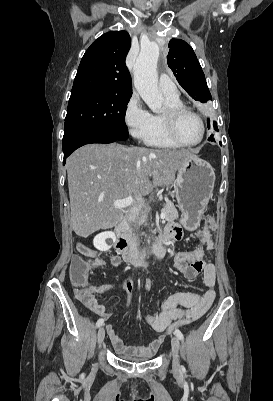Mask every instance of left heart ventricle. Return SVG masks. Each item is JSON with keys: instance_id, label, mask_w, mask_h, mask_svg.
I'll use <instances>...</instances> for the list:
<instances>
[{"instance_id": "1", "label": "left heart ventricle", "mask_w": 273, "mask_h": 401, "mask_svg": "<svg viewBox=\"0 0 273 401\" xmlns=\"http://www.w3.org/2000/svg\"><path fill=\"white\" fill-rule=\"evenodd\" d=\"M176 131L178 136L187 143L196 142L202 136V127L199 119L187 113L178 118Z\"/></svg>"}]
</instances>
